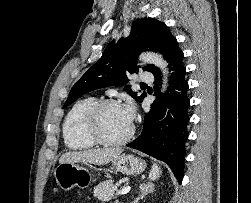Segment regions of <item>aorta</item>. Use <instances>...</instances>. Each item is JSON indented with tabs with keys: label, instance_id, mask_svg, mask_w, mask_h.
<instances>
[{
	"label": "aorta",
	"instance_id": "obj_1",
	"mask_svg": "<svg viewBox=\"0 0 251 203\" xmlns=\"http://www.w3.org/2000/svg\"><path fill=\"white\" fill-rule=\"evenodd\" d=\"M140 60L153 64L156 67L160 68L163 74V85H162V92L166 91L167 86H168V69H167V63L164 60V58L158 54V53H154V52H145L142 53L140 55Z\"/></svg>",
	"mask_w": 251,
	"mask_h": 203
}]
</instances>
